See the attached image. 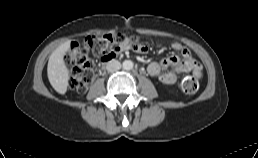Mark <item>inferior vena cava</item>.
I'll return each instance as SVG.
<instances>
[{
  "label": "inferior vena cava",
  "mask_w": 258,
  "mask_h": 158,
  "mask_svg": "<svg viewBox=\"0 0 258 158\" xmlns=\"http://www.w3.org/2000/svg\"><path fill=\"white\" fill-rule=\"evenodd\" d=\"M121 68V63L117 60H111L107 63L106 69L108 72H116Z\"/></svg>",
  "instance_id": "obj_1"
}]
</instances>
